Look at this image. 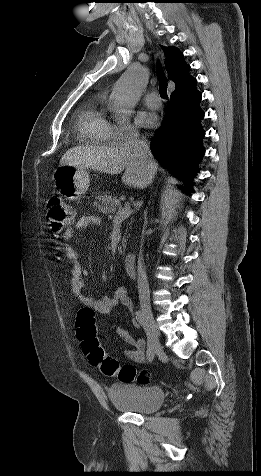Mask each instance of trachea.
Returning a JSON list of instances; mask_svg holds the SVG:
<instances>
[{"label":"trachea","mask_w":261,"mask_h":476,"mask_svg":"<svg viewBox=\"0 0 261 476\" xmlns=\"http://www.w3.org/2000/svg\"><path fill=\"white\" fill-rule=\"evenodd\" d=\"M158 75H159V81H160V85H159L160 96L163 99H167L168 98V95H167V80L164 76L163 69H162L160 64L158 65Z\"/></svg>","instance_id":"obj_1"}]
</instances>
